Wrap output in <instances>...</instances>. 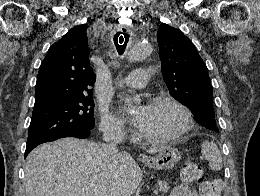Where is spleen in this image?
I'll return each instance as SVG.
<instances>
[{
    "instance_id": "3e777b00",
    "label": "spleen",
    "mask_w": 260,
    "mask_h": 196,
    "mask_svg": "<svg viewBox=\"0 0 260 196\" xmlns=\"http://www.w3.org/2000/svg\"><path fill=\"white\" fill-rule=\"evenodd\" d=\"M201 154L207 160L210 170H222V156L214 142L205 140L202 142Z\"/></svg>"
}]
</instances>
